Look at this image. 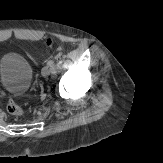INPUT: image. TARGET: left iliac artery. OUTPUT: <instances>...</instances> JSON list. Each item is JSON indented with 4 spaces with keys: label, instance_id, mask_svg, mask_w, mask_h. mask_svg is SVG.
<instances>
[{
    "label": "left iliac artery",
    "instance_id": "obj_1",
    "mask_svg": "<svg viewBox=\"0 0 163 163\" xmlns=\"http://www.w3.org/2000/svg\"><path fill=\"white\" fill-rule=\"evenodd\" d=\"M47 65L50 66V67H53L54 66V61H52V60L48 61Z\"/></svg>",
    "mask_w": 163,
    "mask_h": 163
}]
</instances>
